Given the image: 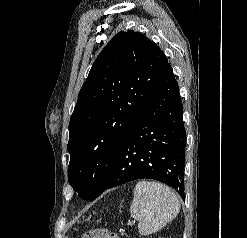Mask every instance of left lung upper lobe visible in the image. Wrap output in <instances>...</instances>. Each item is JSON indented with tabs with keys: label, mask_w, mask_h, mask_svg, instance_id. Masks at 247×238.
Here are the masks:
<instances>
[{
	"label": "left lung upper lobe",
	"mask_w": 247,
	"mask_h": 238,
	"mask_svg": "<svg viewBox=\"0 0 247 238\" xmlns=\"http://www.w3.org/2000/svg\"><path fill=\"white\" fill-rule=\"evenodd\" d=\"M167 63L153 41L132 30L116 34L96 58L69 123L68 180L82 198L93 201L101 194Z\"/></svg>",
	"instance_id": "left-lung-upper-lobe-1"
}]
</instances>
